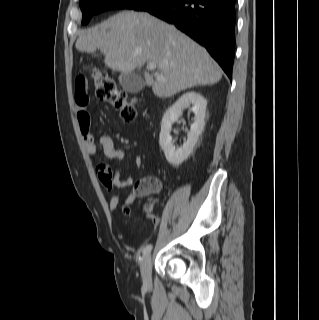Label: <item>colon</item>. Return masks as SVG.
Instances as JSON below:
<instances>
[{"label":"colon","mask_w":319,"mask_h":320,"mask_svg":"<svg viewBox=\"0 0 319 320\" xmlns=\"http://www.w3.org/2000/svg\"><path fill=\"white\" fill-rule=\"evenodd\" d=\"M92 79L95 86L96 95L114 105L120 112L121 118L126 122H132L136 119L137 111L133 101H128L127 95L119 90L112 76L104 70H93ZM77 86L85 84L84 77H78L76 79ZM100 173V179L104 180L108 176L109 171L107 166L99 165L97 168ZM158 185L152 179H144L140 181L136 186V192L138 194H147L157 190ZM151 210V206L147 207Z\"/></svg>","instance_id":"obj_1"}]
</instances>
